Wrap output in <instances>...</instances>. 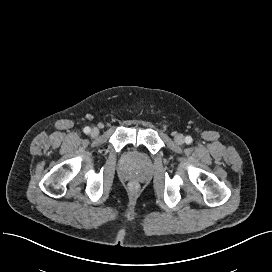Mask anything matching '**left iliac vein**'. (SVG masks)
<instances>
[{
  "mask_svg": "<svg viewBox=\"0 0 272 272\" xmlns=\"http://www.w3.org/2000/svg\"><path fill=\"white\" fill-rule=\"evenodd\" d=\"M174 140L178 145H182L185 142V138L182 134H177Z\"/></svg>",
  "mask_w": 272,
  "mask_h": 272,
  "instance_id": "1",
  "label": "left iliac vein"
}]
</instances>
